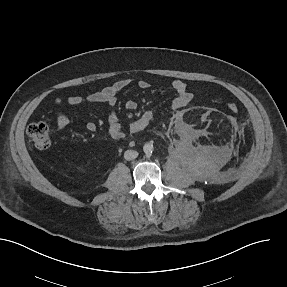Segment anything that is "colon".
I'll return each mask as SVG.
<instances>
[{
	"label": "colon",
	"instance_id": "5ec220e1",
	"mask_svg": "<svg viewBox=\"0 0 287 287\" xmlns=\"http://www.w3.org/2000/svg\"><path fill=\"white\" fill-rule=\"evenodd\" d=\"M227 108L232 113L238 112V105L236 103H229ZM27 135L31 143L37 149H47L51 144V131L47 123L35 122L29 125Z\"/></svg>",
	"mask_w": 287,
	"mask_h": 287
}]
</instances>
